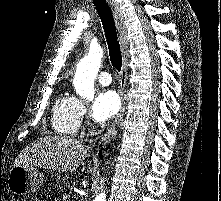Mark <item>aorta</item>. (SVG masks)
<instances>
[{
    "label": "aorta",
    "mask_w": 221,
    "mask_h": 201,
    "mask_svg": "<svg viewBox=\"0 0 221 201\" xmlns=\"http://www.w3.org/2000/svg\"><path fill=\"white\" fill-rule=\"evenodd\" d=\"M103 50L101 47L91 48L81 64L73 79L76 92L83 98H91L94 95V80L98 74ZM93 201H106V193H99Z\"/></svg>",
    "instance_id": "obj_1"
}]
</instances>
